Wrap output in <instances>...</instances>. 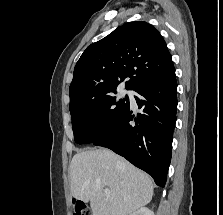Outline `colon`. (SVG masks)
I'll list each match as a JSON object with an SVG mask.
<instances>
[{
    "mask_svg": "<svg viewBox=\"0 0 223 215\" xmlns=\"http://www.w3.org/2000/svg\"><path fill=\"white\" fill-rule=\"evenodd\" d=\"M73 212L72 215H92L89 208L78 201L73 202Z\"/></svg>",
    "mask_w": 223,
    "mask_h": 215,
    "instance_id": "obj_1",
    "label": "colon"
}]
</instances>
